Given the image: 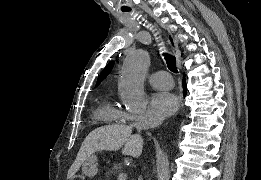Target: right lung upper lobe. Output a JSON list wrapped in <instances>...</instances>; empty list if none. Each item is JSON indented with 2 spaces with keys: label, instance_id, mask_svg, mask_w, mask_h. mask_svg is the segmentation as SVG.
Returning <instances> with one entry per match:
<instances>
[{
  "label": "right lung upper lobe",
  "instance_id": "1",
  "mask_svg": "<svg viewBox=\"0 0 261 180\" xmlns=\"http://www.w3.org/2000/svg\"><path fill=\"white\" fill-rule=\"evenodd\" d=\"M172 41V39H171ZM114 65V62H110L105 69L102 71V73L99 75V78L97 80L96 86L110 73L112 67Z\"/></svg>",
  "mask_w": 261,
  "mask_h": 180
}]
</instances>
